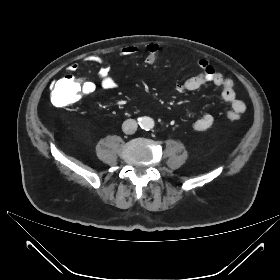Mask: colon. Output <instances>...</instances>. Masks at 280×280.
Masks as SVG:
<instances>
[{
  "instance_id": "5ec220e1",
  "label": "colon",
  "mask_w": 280,
  "mask_h": 280,
  "mask_svg": "<svg viewBox=\"0 0 280 280\" xmlns=\"http://www.w3.org/2000/svg\"><path fill=\"white\" fill-rule=\"evenodd\" d=\"M81 83L71 75H64L56 79L52 85L50 100L56 107H65L79 101ZM239 116L233 114L230 119L236 120Z\"/></svg>"
}]
</instances>
